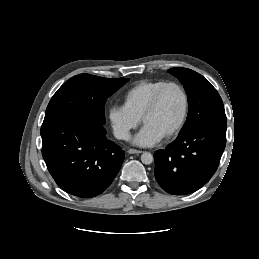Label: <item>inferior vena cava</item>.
Masks as SVG:
<instances>
[{
  "mask_svg": "<svg viewBox=\"0 0 259 259\" xmlns=\"http://www.w3.org/2000/svg\"><path fill=\"white\" fill-rule=\"evenodd\" d=\"M114 136L117 139L128 140L130 138V133L127 130L117 129L114 131Z\"/></svg>",
  "mask_w": 259,
  "mask_h": 259,
  "instance_id": "1",
  "label": "inferior vena cava"
}]
</instances>
